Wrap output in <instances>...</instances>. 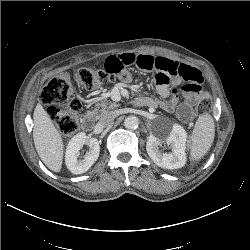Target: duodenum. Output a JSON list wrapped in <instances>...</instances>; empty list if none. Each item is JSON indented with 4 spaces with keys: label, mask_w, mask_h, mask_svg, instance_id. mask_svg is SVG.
Listing matches in <instances>:
<instances>
[{
    "label": "duodenum",
    "mask_w": 250,
    "mask_h": 250,
    "mask_svg": "<svg viewBox=\"0 0 250 250\" xmlns=\"http://www.w3.org/2000/svg\"><path fill=\"white\" fill-rule=\"evenodd\" d=\"M82 127L85 130H92V128L94 127V116L93 114L89 113L86 114L83 119H82Z\"/></svg>",
    "instance_id": "1"
}]
</instances>
